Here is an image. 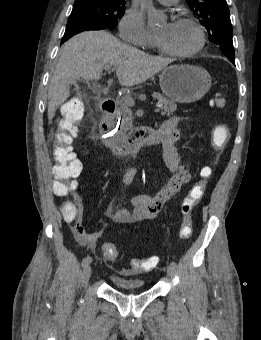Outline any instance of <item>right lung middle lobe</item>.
<instances>
[{"mask_svg": "<svg viewBox=\"0 0 261 340\" xmlns=\"http://www.w3.org/2000/svg\"><path fill=\"white\" fill-rule=\"evenodd\" d=\"M125 2L84 1L74 3L68 22L83 20L102 29H114L125 13Z\"/></svg>", "mask_w": 261, "mask_h": 340, "instance_id": "obj_1", "label": "right lung middle lobe"}]
</instances>
